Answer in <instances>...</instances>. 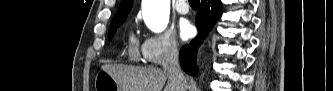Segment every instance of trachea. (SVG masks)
Listing matches in <instances>:
<instances>
[{
    "instance_id": "1",
    "label": "trachea",
    "mask_w": 333,
    "mask_h": 91,
    "mask_svg": "<svg viewBox=\"0 0 333 91\" xmlns=\"http://www.w3.org/2000/svg\"><path fill=\"white\" fill-rule=\"evenodd\" d=\"M197 2H199V0H189L190 4L197 3Z\"/></svg>"
}]
</instances>
